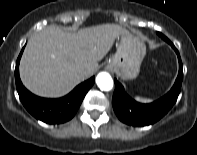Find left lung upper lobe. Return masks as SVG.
I'll list each match as a JSON object with an SVG mask.
<instances>
[{
    "instance_id": "left-lung-upper-lobe-1",
    "label": "left lung upper lobe",
    "mask_w": 197,
    "mask_h": 155,
    "mask_svg": "<svg viewBox=\"0 0 197 155\" xmlns=\"http://www.w3.org/2000/svg\"><path fill=\"white\" fill-rule=\"evenodd\" d=\"M158 35H159L160 37H162V38L165 40V36H164L163 34L158 33Z\"/></svg>"
}]
</instances>
